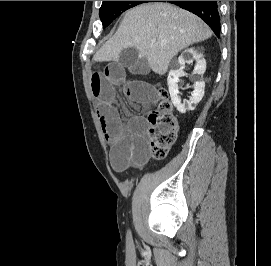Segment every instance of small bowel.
Masks as SVG:
<instances>
[{
    "label": "small bowel",
    "instance_id": "1",
    "mask_svg": "<svg viewBox=\"0 0 271 266\" xmlns=\"http://www.w3.org/2000/svg\"><path fill=\"white\" fill-rule=\"evenodd\" d=\"M128 72L146 74L148 65L141 59L129 58L123 63L112 61L91 75V91L97 102V117L104 137L111 144L110 161L114 170L124 171L130 166L143 167L149 161L147 123L143 117H132L123 123L117 105V90L134 103L147 104L157 98L147 82L128 80Z\"/></svg>",
    "mask_w": 271,
    "mask_h": 266
}]
</instances>
